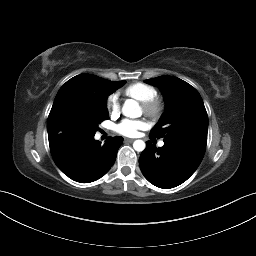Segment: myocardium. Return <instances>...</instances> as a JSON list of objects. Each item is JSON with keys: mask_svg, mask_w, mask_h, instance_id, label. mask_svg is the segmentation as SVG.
Here are the masks:
<instances>
[{"mask_svg": "<svg viewBox=\"0 0 256 256\" xmlns=\"http://www.w3.org/2000/svg\"><path fill=\"white\" fill-rule=\"evenodd\" d=\"M141 105L144 113L154 119L158 118L164 110V104L158 97L142 102Z\"/></svg>", "mask_w": 256, "mask_h": 256, "instance_id": "myocardium-1", "label": "myocardium"}]
</instances>
